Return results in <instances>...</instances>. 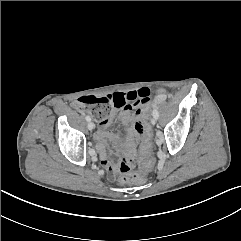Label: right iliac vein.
<instances>
[{
	"label": "right iliac vein",
	"instance_id": "obj_1",
	"mask_svg": "<svg viewBox=\"0 0 241 241\" xmlns=\"http://www.w3.org/2000/svg\"><path fill=\"white\" fill-rule=\"evenodd\" d=\"M87 126H88V129H89V130H93V129L95 128L94 123L91 122V121L88 122V125H87Z\"/></svg>",
	"mask_w": 241,
	"mask_h": 241
}]
</instances>
